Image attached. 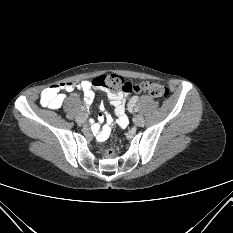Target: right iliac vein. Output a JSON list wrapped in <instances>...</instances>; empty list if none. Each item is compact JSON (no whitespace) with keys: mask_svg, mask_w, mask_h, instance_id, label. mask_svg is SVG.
<instances>
[{"mask_svg":"<svg viewBox=\"0 0 233 233\" xmlns=\"http://www.w3.org/2000/svg\"><path fill=\"white\" fill-rule=\"evenodd\" d=\"M87 121V116L84 113H80L77 117H76V122L78 124H83Z\"/></svg>","mask_w":233,"mask_h":233,"instance_id":"right-iliac-vein-1","label":"right iliac vein"}]
</instances>
